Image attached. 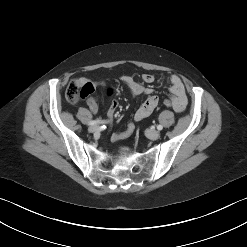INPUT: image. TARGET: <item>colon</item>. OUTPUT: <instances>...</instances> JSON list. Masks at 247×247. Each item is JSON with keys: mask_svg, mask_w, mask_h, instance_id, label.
<instances>
[{"mask_svg": "<svg viewBox=\"0 0 247 247\" xmlns=\"http://www.w3.org/2000/svg\"><path fill=\"white\" fill-rule=\"evenodd\" d=\"M93 87L90 84L81 85L77 81L68 84L65 92L66 100L69 103L75 104L79 100L85 98L93 92ZM163 104L167 108L174 109V103L171 99H165Z\"/></svg>", "mask_w": 247, "mask_h": 247, "instance_id": "obj_1", "label": "colon"}]
</instances>
